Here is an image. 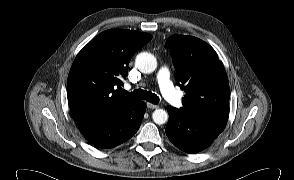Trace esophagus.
I'll use <instances>...</instances> for the list:
<instances>
[{
    "mask_svg": "<svg viewBox=\"0 0 294 180\" xmlns=\"http://www.w3.org/2000/svg\"><path fill=\"white\" fill-rule=\"evenodd\" d=\"M147 107H148L149 109H157L159 106H158V105H154V104H152V103H147Z\"/></svg>",
    "mask_w": 294,
    "mask_h": 180,
    "instance_id": "obj_1",
    "label": "esophagus"
}]
</instances>
